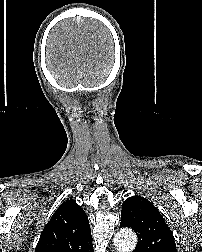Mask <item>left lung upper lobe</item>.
I'll return each mask as SVG.
<instances>
[{"label":"left lung upper lobe","instance_id":"1","mask_svg":"<svg viewBox=\"0 0 202 252\" xmlns=\"http://www.w3.org/2000/svg\"><path fill=\"white\" fill-rule=\"evenodd\" d=\"M121 227L138 236L133 252H177L172 232L160 212L145 198L135 195L122 205Z\"/></svg>","mask_w":202,"mask_h":252}]
</instances>
